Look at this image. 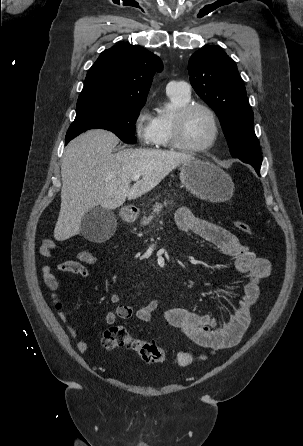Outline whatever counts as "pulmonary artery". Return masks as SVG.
Masks as SVG:
<instances>
[{
    "label": "pulmonary artery",
    "instance_id": "obj_1",
    "mask_svg": "<svg viewBox=\"0 0 303 446\" xmlns=\"http://www.w3.org/2000/svg\"><path fill=\"white\" fill-rule=\"evenodd\" d=\"M167 91H180L183 93H189V85L182 81H171L167 85Z\"/></svg>",
    "mask_w": 303,
    "mask_h": 446
}]
</instances>
